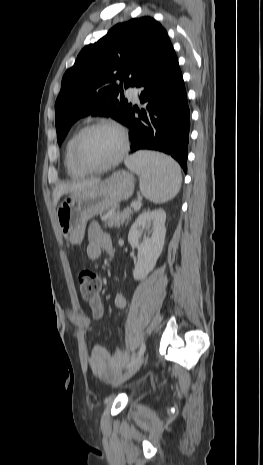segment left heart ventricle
<instances>
[{
	"label": "left heart ventricle",
	"instance_id": "left-heart-ventricle-1",
	"mask_svg": "<svg viewBox=\"0 0 263 465\" xmlns=\"http://www.w3.org/2000/svg\"><path fill=\"white\" fill-rule=\"evenodd\" d=\"M121 149L119 134L110 128H96L85 134L81 157L89 165H103L113 160Z\"/></svg>",
	"mask_w": 263,
	"mask_h": 465
}]
</instances>
